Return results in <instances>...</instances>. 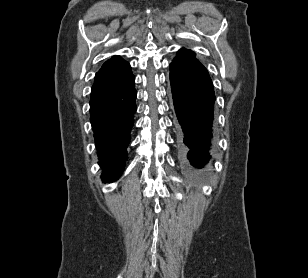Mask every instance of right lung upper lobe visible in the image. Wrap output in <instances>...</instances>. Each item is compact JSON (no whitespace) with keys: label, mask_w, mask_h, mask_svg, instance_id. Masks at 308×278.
I'll use <instances>...</instances> for the list:
<instances>
[{"label":"right lung upper lobe","mask_w":308,"mask_h":278,"mask_svg":"<svg viewBox=\"0 0 308 278\" xmlns=\"http://www.w3.org/2000/svg\"><path fill=\"white\" fill-rule=\"evenodd\" d=\"M130 74L129 63L119 56H113L96 73L93 87L118 84L124 81Z\"/></svg>","instance_id":"obj_1"}]
</instances>
